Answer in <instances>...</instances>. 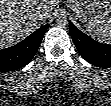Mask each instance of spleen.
<instances>
[{
	"instance_id": "obj_1",
	"label": "spleen",
	"mask_w": 111,
	"mask_h": 106,
	"mask_svg": "<svg viewBox=\"0 0 111 106\" xmlns=\"http://www.w3.org/2000/svg\"><path fill=\"white\" fill-rule=\"evenodd\" d=\"M85 27L94 38L111 43V16L103 20H91L86 23Z\"/></svg>"
}]
</instances>
